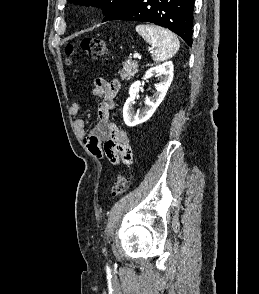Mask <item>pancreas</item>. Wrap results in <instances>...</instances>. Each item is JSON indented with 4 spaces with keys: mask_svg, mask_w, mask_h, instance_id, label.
Segmentation results:
<instances>
[{
    "mask_svg": "<svg viewBox=\"0 0 259 294\" xmlns=\"http://www.w3.org/2000/svg\"><path fill=\"white\" fill-rule=\"evenodd\" d=\"M138 72V64L135 61L127 60L123 63L120 73L122 80H130Z\"/></svg>",
    "mask_w": 259,
    "mask_h": 294,
    "instance_id": "cf45deb5",
    "label": "pancreas"
}]
</instances>
